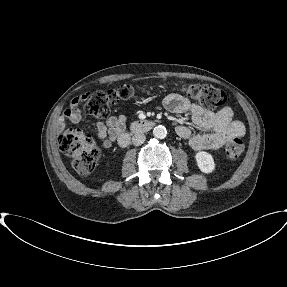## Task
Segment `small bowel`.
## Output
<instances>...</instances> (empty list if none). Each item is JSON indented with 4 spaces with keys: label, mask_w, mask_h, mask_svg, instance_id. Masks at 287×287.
Listing matches in <instances>:
<instances>
[{
    "label": "small bowel",
    "mask_w": 287,
    "mask_h": 287,
    "mask_svg": "<svg viewBox=\"0 0 287 287\" xmlns=\"http://www.w3.org/2000/svg\"><path fill=\"white\" fill-rule=\"evenodd\" d=\"M84 96L72 99L68 108L57 120L58 130L65 132L71 130L67 128L66 122L77 123L82 120V113L79 104L84 100ZM164 107L171 113L189 112L195 125L208 133L192 134L187 125L176 127L177 135L189 141L190 146L197 151L207 149H219L228 140L242 136L245 132L244 125L233 118V110L229 106H224L216 112L208 111L179 95L169 94L163 100ZM126 118L124 115L110 116L96 125L97 136L103 147H110L124 132Z\"/></svg>",
    "instance_id": "1"
}]
</instances>
